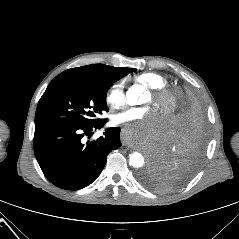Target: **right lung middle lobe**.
<instances>
[{"label": "right lung middle lobe", "mask_w": 239, "mask_h": 239, "mask_svg": "<svg viewBox=\"0 0 239 239\" xmlns=\"http://www.w3.org/2000/svg\"><path fill=\"white\" fill-rule=\"evenodd\" d=\"M134 71L132 69L128 73ZM128 73L104 78H54L39 100L35 125L55 123L82 126L102 121L98 115L108 111V89Z\"/></svg>", "instance_id": "1"}]
</instances>
